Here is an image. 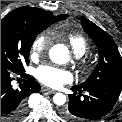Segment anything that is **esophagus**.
Listing matches in <instances>:
<instances>
[{
    "label": "esophagus",
    "mask_w": 122,
    "mask_h": 122,
    "mask_svg": "<svg viewBox=\"0 0 122 122\" xmlns=\"http://www.w3.org/2000/svg\"><path fill=\"white\" fill-rule=\"evenodd\" d=\"M42 92H46V93H55L56 91L47 87H42Z\"/></svg>",
    "instance_id": "34e87169"
}]
</instances>
